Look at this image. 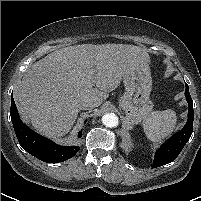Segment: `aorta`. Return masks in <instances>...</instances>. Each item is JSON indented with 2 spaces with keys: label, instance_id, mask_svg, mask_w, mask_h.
<instances>
[{
  "label": "aorta",
  "instance_id": "aorta-1",
  "mask_svg": "<svg viewBox=\"0 0 201 201\" xmlns=\"http://www.w3.org/2000/svg\"><path fill=\"white\" fill-rule=\"evenodd\" d=\"M118 117L114 114V113H107L104 114L102 117V123L106 126V127H116L118 125Z\"/></svg>",
  "mask_w": 201,
  "mask_h": 201
}]
</instances>
